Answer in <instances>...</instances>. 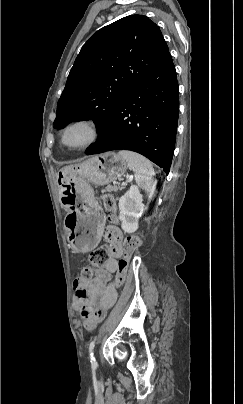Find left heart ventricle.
Here are the masks:
<instances>
[{"instance_id": "1", "label": "left heart ventricle", "mask_w": 243, "mask_h": 404, "mask_svg": "<svg viewBox=\"0 0 243 404\" xmlns=\"http://www.w3.org/2000/svg\"><path fill=\"white\" fill-rule=\"evenodd\" d=\"M90 138V130L86 125L78 124L69 129L66 134V142L71 146L82 145Z\"/></svg>"}]
</instances>
